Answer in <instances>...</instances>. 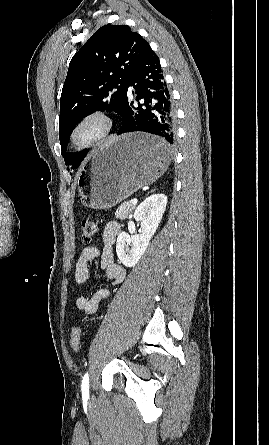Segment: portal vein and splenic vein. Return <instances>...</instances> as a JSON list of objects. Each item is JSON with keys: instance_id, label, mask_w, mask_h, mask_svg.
I'll list each match as a JSON object with an SVG mask.
<instances>
[{"instance_id": "portal-vein-and-splenic-vein-1", "label": "portal vein and splenic vein", "mask_w": 269, "mask_h": 445, "mask_svg": "<svg viewBox=\"0 0 269 445\" xmlns=\"http://www.w3.org/2000/svg\"><path fill=\"white\" fill-rule=\"evenodd\" d=\"M131 203H132V204H137V199H132V200H131Z\"/></svg>"}]
</instances>
